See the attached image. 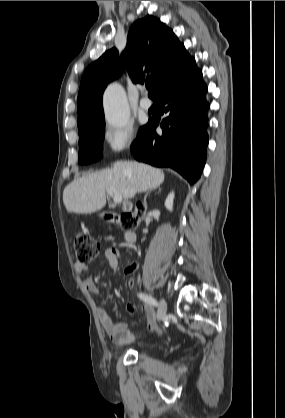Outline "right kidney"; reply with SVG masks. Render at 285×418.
Wrapping results in <instances>:
<instances>
[{
	"label": "right kidney",
	"instance_id": "right-kidney-1",
	"mask_svg": "<svg viewBox=\"0 0 285 418\" xmlns=\"http://www.w3.org/2000/svg\"><path fill=\"white\" fill-rule=\"evenodd\" d=\"M174 192H171L165 200V207L169 210H173Z\"/></svg>",
	"mask_w": 285,
	"mask_h": 418
}]
</instances>
